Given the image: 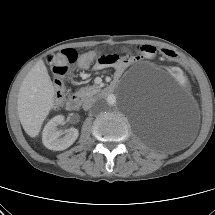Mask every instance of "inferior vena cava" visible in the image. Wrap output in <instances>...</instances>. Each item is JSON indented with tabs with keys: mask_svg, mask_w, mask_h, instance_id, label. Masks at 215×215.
<instances>
[{
	"mask_svg": "<svg viewBox=\"0 0 215 215\" xmlns=\"http://www.w3.org/2000/svg\"><path fill=\"white\" fill-rule=\"evenodd\" d=\"M95 105H96V100L95 99H88V100H86L84 102L83 108L87 110V109H89V108H91V107H93Z\"/></svg>",
	"mask_w": 215,
	"mask_h": 215,
	"instance_id": "1",
	"label": "inferior vena cava"
}]
</instances>
